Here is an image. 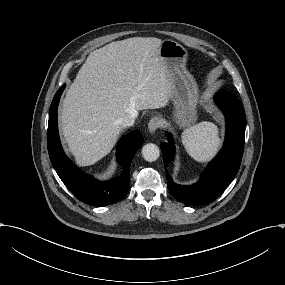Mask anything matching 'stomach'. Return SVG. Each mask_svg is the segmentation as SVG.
<instances>
[{"label":"stomach","instance_id":"1","mask_svg":"<svg viewBox=\"0 0 285 285\" xmlns=\"http://www.w3.org/2000/svg\"><path fill=\"white\" fill-rule=\"evenodd\" d=\"M160 58L172 79L173 98L180 123L184 126L194 120L197 88L192 76L185 69L186 51L174 41L166 40L160 50Z\"/></svg>","mask_w":285,"mask_h":285}]
</instances>
